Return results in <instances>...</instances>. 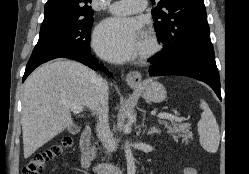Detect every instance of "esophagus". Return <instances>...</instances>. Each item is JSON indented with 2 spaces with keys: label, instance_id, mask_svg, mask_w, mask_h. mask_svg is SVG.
Returning <instances> with one entry per match:
<instances>
[{
  "label": "esophagus",
  "instance_id": "34e87169",
  "mask_svg": "<svg viewBox=\"0 0 249 174\" xmlns=\"http://www.w3.org/2000/svg\"><path fill=\"white\" fill-rule=\"evenodd\" d=\"M142 79V76L140 74V72L138 71H130L127 75H126V81L129 85L132 86H137L140 84Z\"/></svg>",
  "mask_w": 249,
  "mask_h": 174
}]
</instances>
